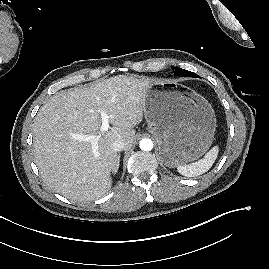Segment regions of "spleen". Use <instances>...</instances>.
I'll return each mask as SVG.
<instances>
[{
	"label": "spleen",
	"instance_id": "3e777b00",
	"mask_svg": "<svg viewBox=\"0 0 269 269\" xmlns=\"http://www.w3.org/2000/svg\"><path fill=\"white\" fill-rule=\"evenodd\" d=\"M219 152V147L214 146L205 156L197 162L191 164H180L177 171L187 177H195L207 172L214 164Z\"/></svg>",
	"mask_w": 269,
	"mask_h": 269
}]
</instances>
